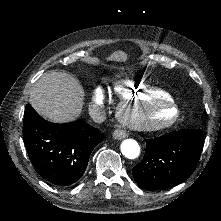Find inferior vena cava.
I'll list each match as a JSON object with an SVG mask.
<instances>
[{
    "label": "inferior vena cava",
    "mask_w": 221,
    "mask_h": 221,
    "mask_svg": "<svg viewBox=\"0 0 221 221\" xmlns=\"http://www.w3.org/2000/svg\"><path fill=\"white\" fill-rule=\"evenodd\" d=\"M106 117V111L104 108H100L98 111V120L100 123H103L105 121Z\"/></svg>",
    "instance_id": "1"
}]
</instances>
